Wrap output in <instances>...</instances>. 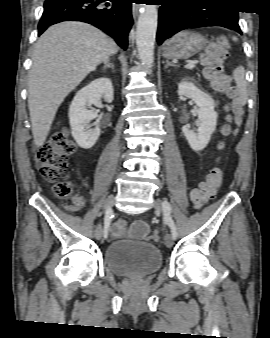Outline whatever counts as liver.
I'll use <instances>...</instances> for the list:
<instances>
[{
  "instance_id": "1",
  "label": "liver",
  "mask_w": 270,
  "mask_h": 338,
  "mask_svg": "<svg viewBox=\"0 0 270 338\" xmlns=\"http://www.w3.org/2000/svg\"><path fill=\"white\" fill-rule=\"evenodd\" d=\"M117 50L111 38L82 22L55 24L40 36L33 51L28 84V108L37 147L46 141L66 96Z\"/></svg>"
}]
</instances>
